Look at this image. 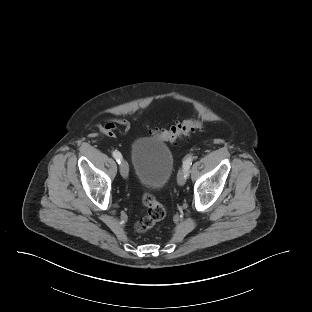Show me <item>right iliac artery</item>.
Returning a JSON list of instances; mask_svg holds the SVG:
<instances>
[{
  "label": "right iliac artery",
  "mask_w": 312,
  "mask_h": 312,
  "mask_svg": "<svg viewBox=\"0 0 312 312\" xmlns=\"http://www.w3.org/2000/svg\"><path fill=\"white\" fill-rule=\"evenodd\" d=\"M112 155L118 163H120L122 161V155L119 151H117V150L113 151Z\"/></svg>",
  "instance_id": "1"
}]
</instances>
